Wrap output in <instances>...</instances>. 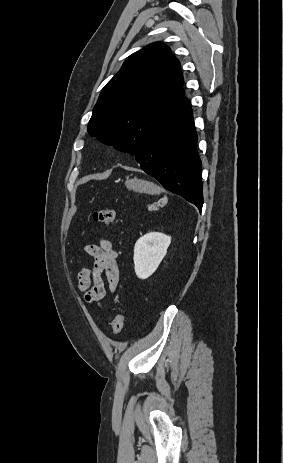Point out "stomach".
Instances as JSON below:
<instances>
[{
  "label": "stomach",
  "instance_id": "0dacf381",
  "mask_svg": "<svg viewBox=\"0 0 283 463\" xmlns=\"http://www.w3.org/2000/svg\"><path fill=\"white\" fill-rule=\"evenodd\" d=\"M125 186L129 190H133L134 192L145 193V194H159L161 192V188L154 184L153 182L142 180V179H127L125 181Z\"/></svg>",
  "mask_w": 283,
  "mask_h": 463
}]
</instances>
